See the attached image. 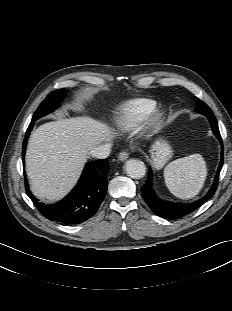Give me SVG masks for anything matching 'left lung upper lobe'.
<instances>
[{"label":"left lung upper lobe","instance_id":"5c2ea615","mask_svg":"<svg viewBox=\"0 0 232 311\" xmlns=\"http://www.w3.org/2000/svg\"><path fill=\"white\" fill-rule=\"evenodd\" d=\"M196 110L198 112L211 111V109L204 102H202L200 100L197 103Z\"/></svg>","mask_w":232,"mask_h":311}]
</instances>
